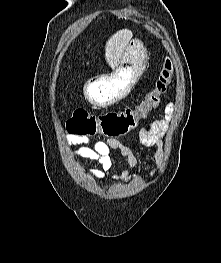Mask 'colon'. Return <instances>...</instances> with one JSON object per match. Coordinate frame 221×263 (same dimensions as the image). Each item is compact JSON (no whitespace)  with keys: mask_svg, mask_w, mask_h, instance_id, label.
Returning <instances> with one entry per match:
<instances>
[{"mask_svg":"<svg viewBox=\"0 0 221 263\" xmlns=\"http://www.w3.org/2000/svg\"><path fill=\"white\" fill-rule=\"evenodd\" d=\"M172 71L173 66L168 59L152 89L134 107L108 111L99 115L91 114L84 109L75 110L67 122L68 129L71 133L83 137L116 138L128 134L158 107L170 85Z\"/></svg>","mask_w":221,"mask_h":263,"instance_id":"5ec220e1","label":"colon"}]
</instances>
